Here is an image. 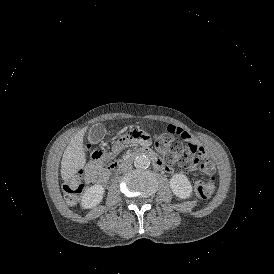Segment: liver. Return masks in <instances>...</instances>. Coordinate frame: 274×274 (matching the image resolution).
I'll list each match as a JSON object with an SVG mask.
<instances>
[{
    "label": "liver",
    "mask_w": 274,
    "mask_h": 274,
    "mask_svg": "<svg viewBox=\"0 0 274 274\" xmlns=\"http://www.w3.org/2000/svg\"><path fill=\"white\" fill-rule=\"evenodd\" d=\"M83 132L77 133L68 144L61 162V175L64 180L70 179L76 170L84 165L82 151Z\"/></svg>",
    "instance_id": "liver-1"
}]
</instances>
